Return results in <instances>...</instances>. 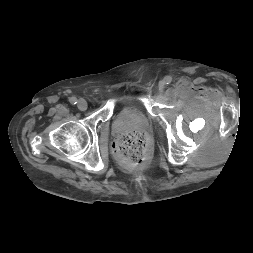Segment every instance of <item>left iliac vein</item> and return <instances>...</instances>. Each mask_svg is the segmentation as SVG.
<instances>
[{"label":"left iliac vein","instance_id":"1","mask_svg":"<svg viewBox=\"0 0 253 253\" xmlns=\"http://www.w3.org/2000/svg\"><path fill=\"white\" fill-rule=\"evenodd\" d=\"M158 86H159V89L162 90L165 87V82L164 81L159 82Z\"/></svg>","mask_w":253,"mask_h":253}]
</instances>
